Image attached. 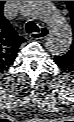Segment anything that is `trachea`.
Returning <instances> with one entry per match:
<instances>
[{"label":"trachea","instance_id":"1","mask_svg":"<svg viewBox=\"0 0 74 122\" xmlns=\"http://www.w3.org/2000/svg\"><path fill=\"white\" fill-rule=\"evenodd\" d=\"M26 32L27 33H35V32H39V27L33 22V21H29L26 23L25 26Z\"/></svg>","mask_w":74,"mask_h":122}]
</instances>
